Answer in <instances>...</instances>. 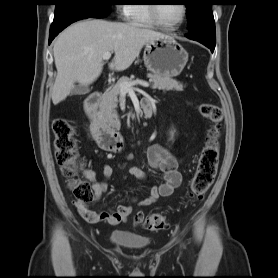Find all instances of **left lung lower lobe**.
<instances>
[{
	"mask_svg": "<svg viewBox=\"0 0 278 278\" xmlns=\"http://www.w3.org/2000/svg\"><path fill=\"white\" fill-rule=\"evenodd\" d=\"M186 37L189 39L198 41V42L202 43L203 45H205L206 47H208L212 52L214 51L216 43L205 40L201 36H199L197 34H193V33L188 34Z\"/></svg>",
	"mask_w": 278,
	"mask_h": 278,
	"instance_id": "left-lung-lower-lobe-1",
	"label": "left lung lower lobe"
}]
</instances>
